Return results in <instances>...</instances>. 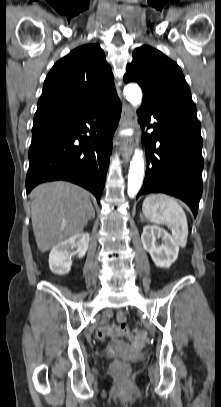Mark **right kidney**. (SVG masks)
I'll use <instances>...</instances> for the list:
<instances>
[{
  "label": "right kidney",
  "mask_w": 221,
  "mask_h": 407,
  "mask_svg": "<svg viewBox=\"0 0 221 407\" xmlns=\"http://www.w3.org/2000/svg\"><path fill=\"white\" fill-rule=\"evenodd\" d=\"M89 240V233H79L54 246L49 254L50 270L57 275L69 273L73 255L70 251L77 248V257L83 258L88 250Z\"/></svg>",
  "instance_id": "1"
}]
</instances>
